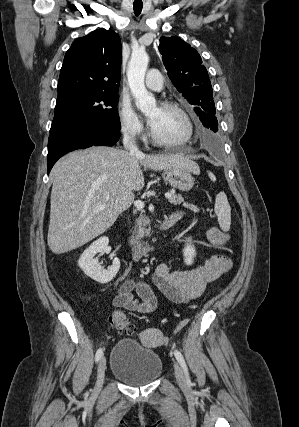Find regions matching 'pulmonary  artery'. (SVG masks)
Wrapping results in <instances>:
<instances>
[{
	"instance_id": "e3ab8cb5",
	"label": "pulmonary artery",
	"mask_w": 299,
	"mask_h": 427,
	"mask_svg": "<svg viewBox=\"0 0 299 427\" xmlns=\"http://www.w3.org/2000/svg\"><path fill=\"white\" fill-rule=\"evenodd\" d=\"M145 84L151 90L160 91L163 88V78L160 71L150 69L147 72Z\"/></svg>"
}]
</instances>
